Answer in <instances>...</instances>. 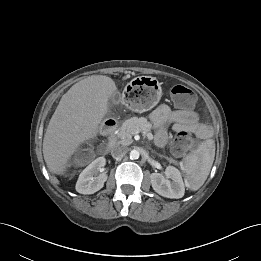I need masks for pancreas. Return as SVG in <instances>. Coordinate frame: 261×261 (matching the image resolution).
Instances as JSON below:
<instances>
[{
	"label": "pancreas",
	"instance_id": "obj_1",
	"mask_svg": "<svg viewBox=\"0 0 261 261\" xmlns=\"http://www.w3.org/2000/svg\"><path fill=\"white\" fill-rule=\"evenodd\" d=\"M152 123L144 117H132L123 122L117 133V143L122 145H130L132 143V135L137 131H145L151 133Z\"/></svg>",
	"mask_w": 261,
	"mask_h": 261
}]
</instances>
